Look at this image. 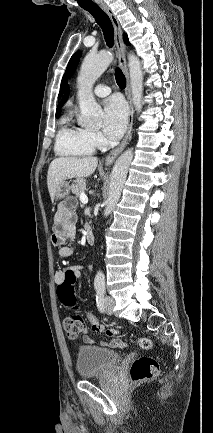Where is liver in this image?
<instances>
[{"instance_id":"obj_1","label":"liver","mask_w":213,"mask_h":433,"mask_svg":"<svg viewBox=\"0 0 213 433\" xmlns=\"http://www.w3.org/2000/svg\"><path fill=\"white\" fill-rule=\"evenodd\" d=\"M98 164L96 157H59L49 165L47 186L51 200L55 198L58 186L67 179L88 177Z\"/></svg>"}]
</instances>
